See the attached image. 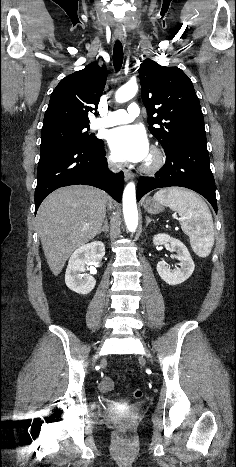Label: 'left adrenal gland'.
I'll list each match as a JSON object with an SVG mask.
<instances>
[{"mask_svg": "<svg viewBox=\"0 0 236 467\" xmlns=\"http://www.w3.org/2000/svg\"><path fill=\"white\" fill-rule=\"evenodd\" d=\"M151 222L155 223V221L152 220L149 216H146V227H147Z\"/></svg>", "mask_w": 236, "mask_h": 467, "instance_id": "left-adrenal-gland-1", "label": "left adrenal gland"}]
</instances>
